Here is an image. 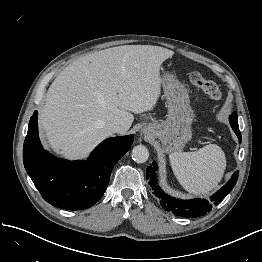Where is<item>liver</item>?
Masks as SVG:
<instances>
[{
  "label": "liver",
  "instance_id": "liver-1",
  "mask_svg": "<svg viewBox=\"0 0 262 262\" xmlns=\"http://www.w3.org/2000/svg\"><path fill=\"white\" fill-rule=\"evenodd\" d=\"M173 55L159 46L124 45L72 62L51 84L40 110L48 145L65 157L78 158L110 135L107 123L120 122L127 131L133 113L155 107L161 64Z\"/></svg>",
  "mask_w": 262,
  "mask_h": 262
}]
</instances>
